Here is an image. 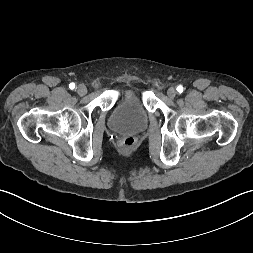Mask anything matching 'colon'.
<instances>
[{
    "mask_svg": "<svg viewBox=\"0 0 253 253\" xmlns=\"http://www.w3.org/2000/svg\"><path fill=\"white\" fill-rule=\"evenodd\" d=\"M134 144H135V140L133 137H126L122 139L120 142L121 148L126 151L132 149Z\"/></svg>",
    "mask_w": 253,
    "mask_h": 253,
    "instance_id": "1",
    "label": "colon"
}]
</instances>
